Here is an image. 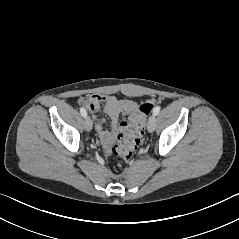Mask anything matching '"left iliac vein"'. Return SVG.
Here are the masks:
<instances>
[{
  "label": "left iliac vein",
  "instance_id": "left-iliac-vein-1",
  "mask_svg": "<svg viewBox=\"0 0 239 239\" xmlns=\"http://www.w3.org/2000/svg\"><path fill=\"white\" fill-rule=\"evenodd\" d=\"M156 127V115L152 114L149 117L148 124H147V129L149 132H153Z\"/></svg>",
  "mask_w": 239,
  "mask_h": 239
}]
</instances>
